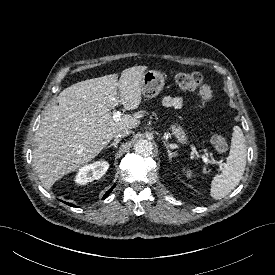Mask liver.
<instances>
[{
  "mask_svg": "<svg viewBox=\"0 0 275 275\" xmlns=\"http://www.w3.org/2000/svg\"><path fill=\"white\" fill-rule=\"evenodd\" d=\"M146 69V66L125 69L119 80L118 74H110L81 81L58 95L59 104L44 113L35 133L33 163L46 189L91 161L116 133L140 124V120L129 114L115 121L111 110L119 103L126 110L139 107Z\"/></svg>",
  "mask_w": 275,
  "mask_h": 275,
  "instance_id": "6515ba94",
  "label": "liver"
}]
</instances>
